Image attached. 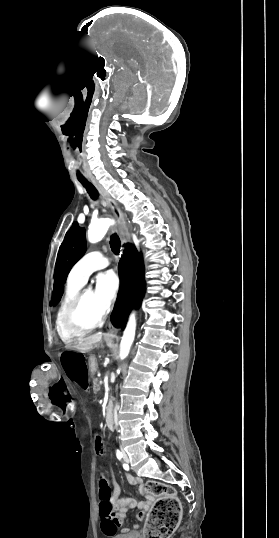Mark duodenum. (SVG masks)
<instances>
[{"label":"duodenum","instance_id":"duodenum-1","mask_svg":"<svg viewBox=\"0 0 279 538\" xmlns=\"http://www.w3.org/2000/svg\"><path fill=\"white\" fill-rule=\"evenodd\" d=\"M92 373H97V365H92ZM111 403H113V398H108V402L105 405V408H106L105 422L107 423V427L109 429H112L114 427V424L112 423V419H111L113 417V414L111 413V409L113 408V405Z\"/></svg>","mask_w":279,"mask_h":538}]
</instances>
